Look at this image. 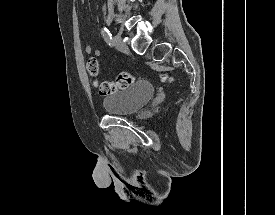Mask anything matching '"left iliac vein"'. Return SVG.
I'll return each mask as SVG.
<instances>
[{
    "mask_svg": "<svg viewBox=\"0 0 275 215\" xmlns=\"http://www.w3.org/2000/svg\"><path fill=\"white\" fill-rule=\"evenodd\" d=\"M113 43L119 51L124 52V53H127L129 51L128 46L122 40L120 35H115L113 37Z\"/></svg>",
    "mask_w": 275,
    "mask_h": 215,
    "instance_id": "obj_1",
    "label": "left iliac vein"
}]
</instances>
